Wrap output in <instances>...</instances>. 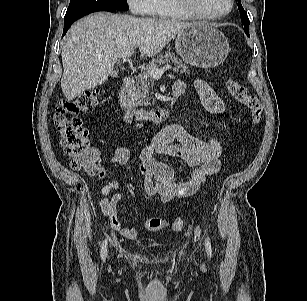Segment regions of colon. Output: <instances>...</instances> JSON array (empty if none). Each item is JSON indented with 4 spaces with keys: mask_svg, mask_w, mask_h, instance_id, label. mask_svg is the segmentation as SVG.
Wrapping results in <instances>:
<instances>
[{
    "mask_svg": "<svg viewBox=\"0 0 307 301\" xmlns=\"http://www.w3.org/2000/svg\"><path fill=\"white\" fill-rule=\"evenodd\" d=\"M225 87L231 97L245 106L253 125H258L263 118V108L259 99L246 90L239 81L228 79ZM98 89H89L76 98L61 101L55 110L54 123L60 135L65 154L71 160L74 170L94 174L97 170L95 162L98 158L96 150L89 146L88 132L84 128L79 116L92 111L98 104ZM183 219L176 217L171 220L162 218H148L145 228L151 231L171 230L181 231Z\"/></svg>",
    "mask_w": 307,
    "mask_h": 301,
    "instance_id": "obj_1",
    "label": "colon"
}]
</instances>
